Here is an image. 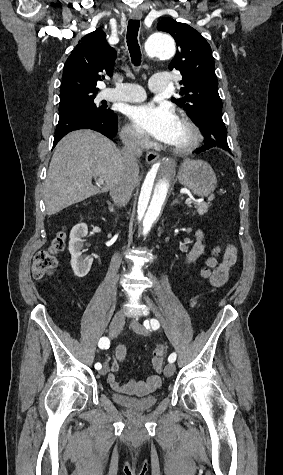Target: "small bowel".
Masks as SVG:
<instances>
[{"label": "small bowel", "instance_id": "c3829d8e", "mask_svg": "<svg viewBox=\"0 0 283 475\" xmlns=\"http://www.w3.org/2000/svg\"><path fill=\"white\" fill-rule=\"evenodd\" d=\"M237 261V249L232 243H228L223 259L220 264L219 271H216L215 274L209 276V282L215 287H221L226 284L229 279L231 269ZM190 306L192 308L199 307V300L197 297H194L190 300ZM163 349V347H162ZM126 358V348L123 345H119L115 351V358L111 362L110 372L107 375V381L109 385L115 390H121L123 387L119 384L116 378V373L120 369V365L124 362ZM155 374L148 378V383L150 385L156 386L160 383L161 380V371L162 369H154Z\"/></svg>", "mask_w": 283, "mask_h": 475}]
</instances>
